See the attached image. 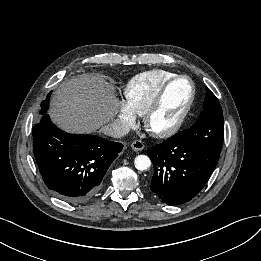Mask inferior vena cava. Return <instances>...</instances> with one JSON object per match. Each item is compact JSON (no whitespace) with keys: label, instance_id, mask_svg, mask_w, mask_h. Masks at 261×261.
<instances>
[{"label":"inferior vena cava","instance_id":"1","mask_svg":"<svg viewBox=\"0 0 261 261\" xmlns=\"http://www.w3.org/2000/svg\"><path fill=\"white\" fill-rule=\"evenodd\" d=\"M102 131L104 134H106L108 136H111L114 138H120V137L128 134L130 131V128L126 123H124L120 120H115V121L111 122L110 124L105 125L102 128Z\"/></svg>","mask_w":261,"mask_h":261}]
</instances>
